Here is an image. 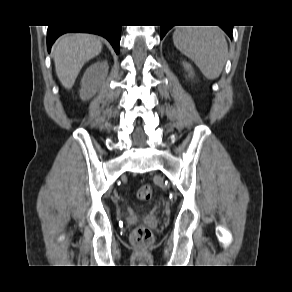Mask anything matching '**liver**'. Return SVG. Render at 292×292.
Masks as SVG:
<instances>
[{"label":"liver","instance_id":"1","mask_svg":"<svg viewBox=\"0 0 292 292\" xmlns=\"http://www.w3.org/2000/svg\"><path fill=\"white\" fill-rule=\"evenodd\" d=\"M101 50L100 39L91 34L72 33L59 37L53 47V59L61 84L71 89L83 65Z\"/></svg>","mask_w":292,"mask_h":292}]
</instances>
